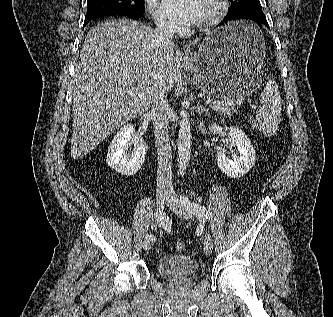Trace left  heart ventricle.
<instances>
[{
    "mask_svg": "<svg viewBox=\"0 0 333 317\" xmlns=\"http://www.w3.org/2000/svg\"><path fill=\"white\" fill-rule=\"evenodd\" d=\"M212 10L213 5L211 4L210 0H201V11L197 24L204 22L212 13Z\"/></svg>",
    "mask_w": 333,
    "mask_h": 317,
    "instance_id": "obj_1",
    "label": "left heart ventricle"
}]
</instances>
